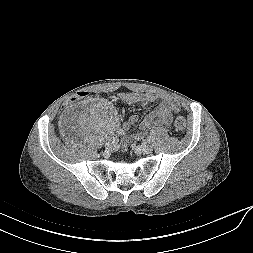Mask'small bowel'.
<instances>
[{
    "instance_id": "obj_1",
    "label": "small bowel",
    "mask_w": 253,
    "mask_h": 253,
    "mask_svg": "<svg viewBox=\"0 0 253 253\" xmlns=\"http://www.w3.org/2000/svg\"><path fill=\"white\" fill-rule=\"evenodd\" d=\"M119 98L126 104H136L141 103L144 105L153 104L158 100V97L154 94H143V93H122ZM180 111L179 102L171 97H162L159 104L153 109L151 113L145 116V118L140 123V131L135 134L136 139L143 137L144 133L148 130L157 127H168L171 125L173 115ZM138 116L132 115L127 122L124 123L121 129L125 132L129 128L137 123Z\"/></svg>"
}]
</instances>
